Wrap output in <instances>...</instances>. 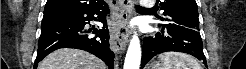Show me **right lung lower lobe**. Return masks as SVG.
<instances>
[{
    "label": "right lung lower lobe",
    "mask_w": 246,
    "mask_h": 69,
    "mask_svg": "<svg viewBox=\"0 0 246 69\" xmlns=\"http://www.w3.org/2000/svg\"><path fill=\"white\" fill-rule=\"evenodd\" d=\"M108 12V6L105 5L99 8L53 10L44 13L34 68L52 51L68 47L88 51L102 59L112 69L115 55L109 47V30L106 22ZM95 15L103 23L102 29L86 26L89 21L97 20Z\"/></svg>",
    "instance_id": "1"
}]
</instances>
